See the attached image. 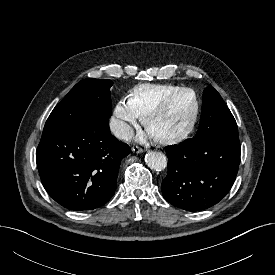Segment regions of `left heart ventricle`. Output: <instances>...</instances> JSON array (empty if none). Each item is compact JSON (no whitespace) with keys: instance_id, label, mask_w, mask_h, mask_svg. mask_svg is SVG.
Masks as SVG:
<instances>
[{"instance_id":"obj_1","label":"left heart ventricle","mask_w":275,"mask_h":275,"mask_svg":"<svg viewBox=\"0 0 275 275\" xmlns=\"http://www.w3.org/2000/svg\"><path fill=\"white\" fill-rule=\"evenodd\" d=\"M194 108L191 94L183 93L175 97L167 108L149 124L153 137H167L182 131L188 124Z\"/></svg>"}]
</instances>
